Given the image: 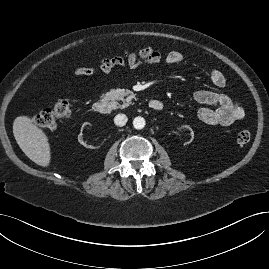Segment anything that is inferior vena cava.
<instances>
[{
    "instance_id": "1",
    "label": "inferior vena cava",
    "mask_w": 269,
    "mask_h": 269,
    "mask_svg": "<svg viewBox=\"0 0 269 269\" xmlns=\"http://www.w3.org/2000/svg\"><path fill=\"white\" fill-rule=\"evenodd\" d=\"M128 118L125 114H118L114 118V123L116 126L122 127L126 124Z\"/></svg>"
}]
</instances>
